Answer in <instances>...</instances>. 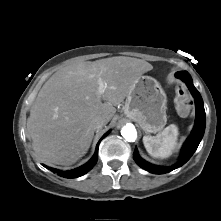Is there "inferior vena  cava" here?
Listing matches in <instances>:
<instances>
[{
  "label": "inferior vena cava",
  "mask_w": 221,
  "mask_h": 221,
  "mask_svg": "<svg viewBox=\"0 0 221 221\" xmlns=\"http://www.w3.org/2000/svg\"><path fill=\"white\" fill-rule=\"evenodd\" d=\"M91 124L94 129H100L105 125V121L101 118H95L91 121Z\"/></svg>",
  "instance_id": "1"
}]
</instances>
